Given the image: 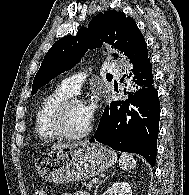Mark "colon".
Returning <instances> with one entry per match:
<instances>
[{"instance_id": "obj_1", "label": "colon", "mask_w": 189, "mask_h": 195, "mask_svg": "<svg viewBox=\"0 0 189 195\" xmlns=\"http://www.w3.org/2000/svg\"><path fill=\"white\" fill-rule=\"evenodd\" d=\"M36 195H45V194H44V192H42V191H38V192L36 193Z\"/></svg>"}]
</instances>
